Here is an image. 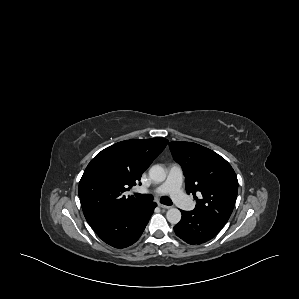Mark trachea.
<instances>
[{
    "label": "trachea",
    "mask_w": 299,
    "mask_h": 299,
    "mask_svg": "<svg viewBox=\"0 0 299 299\" xmlns=\"http://www.w3.org/2000/svg\"><path fill=\"white\" fill-rule=\"evenodd\" d=\"M135 196L137 199H139L140 201H143V202H152L153 201V197L151 195L136 193ZM160 202L164 205H168V206L172 205V201L168 197H162L160 199Z\"/></svg>",
    "instance_id": "trachea-1"
}]
</instances>
